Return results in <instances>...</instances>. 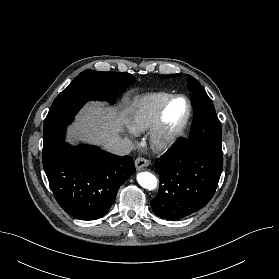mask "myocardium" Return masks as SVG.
<instances>
[{
	"mask_svg": "<svg viewBox=\"0 0 279 279\" xmlns=\"http://www.w3.org/2000/svg\"><path fill=\"white\" fill-rule=\"evenodd\" d=\"M176 99H183L187 105V112L182 123L174 129L168 130L165 126V112ZM192 116V104L189 98L183 94H175L169 97L161 106L157 119L150 129L149 143L156 152H163L171 148L185 132Z\"/></svg>",
	"mask_w": 279,
	"mask_h": 279,
	"instance_id": "1",
	"label": "myocardium"
}]
</instances>
